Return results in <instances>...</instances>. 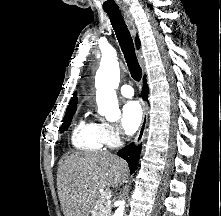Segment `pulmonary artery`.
I'll return each mask as SVG.
<instances>
[{"instance_id":"pulmonary-artery-1","label":"pulmonary artery","mask_w":221,"mask_h":216,"mask_svg":"<svg viewBox=\"0 0 221 216\" xmlns=\"http://www.w3.org/2000/svg\"><path fill=\"white\" fill-rule=\"evenodd\" d=\"M120 92L124 97L130 98L134 95V90L131 85L124 84L120 87Z\"/></svg>"}]
</instances>
